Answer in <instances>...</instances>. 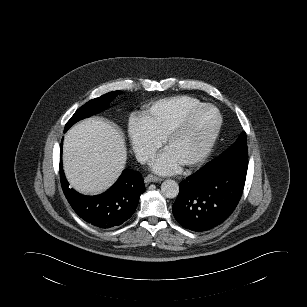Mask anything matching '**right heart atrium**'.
<instances>
[{
  "mask_svg": "<svg viewBox=\"0 0 307 307\" xmlns=\"http://www.w3.org/2000/svg\"><path fill=\"white\" fill-rule=\"evenodd\" d=\"M128 135L132 149L141 162H149L161 145V141L149 131L142 118L130 119Z\"/></svg>",
  "mask_w": 307,
  "mask_h": 307,
  "instance_id": "1",
  "label": "right heart atrium"
}]
</instances>
